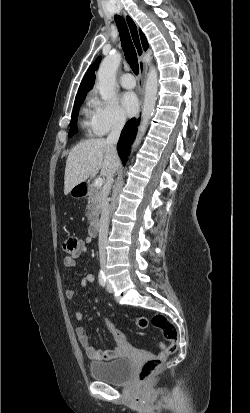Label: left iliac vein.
<instances>
[{"mask_svg": "<svg viewBox=\"0 0 250 413\" xmlns=\"http://www.w3.org/2000/svg\"><path fill=\"white\" fill-rule=\"evenodd\" d=\"M107 291H108V292H112V291H113L112 286H111V284L109 283V281H107Z\"/></svg>", "mask_w": 250, "mask_h": 413, "instance_id": "1", "label": "left iliac vein"}]
</instances>
